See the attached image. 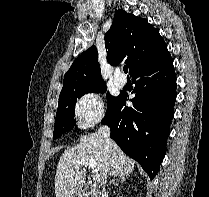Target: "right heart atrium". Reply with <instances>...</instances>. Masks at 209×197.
<instances>
[{"instance_id": "right-heart-atrium-1", "label": "right heart atrium", "mask_w": 209, "mask_h": 197, "mask_svg": "<svg viewBox=\"0 0 209 197\" xmlns=\"http://www.w3.org/2000/svg\"><path fill=\"white\" fill-rule=\"evenodd\" d=\"M74 115L81 127L94 125L104 115L103 98L96 92L85 93L77 100Z\"/></svg>"}]
</instances>
